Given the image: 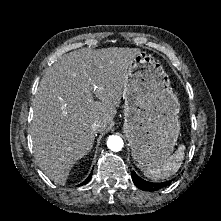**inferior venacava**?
Segmentation results:
<instances>
[{
	"label": "inferior vena cava",
	"mask_w": 221,
	"mask_h": 221,
	"mask_svg": "<svg viewBox=\"0 0 221 221\" xmlns=\"http://www.w3.org/2000/svg\"><path fill=\"white\" fill-rule=\"evenodd\" d=\"M101 128V123L100 122H95L92 124V129L94 131H98Z\"/></svg>",
	"instance_id": "1"
}]
</instances>
